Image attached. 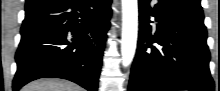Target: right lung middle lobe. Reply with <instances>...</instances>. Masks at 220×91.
<instances>
[{
  "label": "right lung middle lobe",
  "mask_w": 220,
  "mask_h": 91,
  "mask_svg": "<svg viewBox=\"0 0 220 91\" xmlns=\"http://www.w3.org/2000/svg\"><path fill=\"white\" fill-rule=\"evenodd\" d=\"M37 4H40V3H34V1H32V0H27L26 7L37 5Z\"/></svg>",
  "instance_id": "dd1d6c3e"
}]
</instances>
